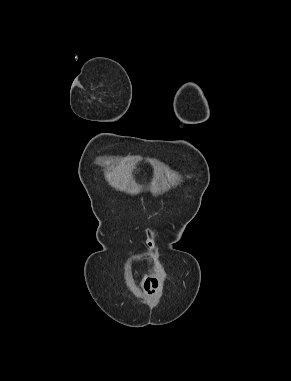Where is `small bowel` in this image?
<instances>
[{"instance_id":"small-bowel-1","label":"small bowel","mask_w":291,"mask_h":381,"mask_svg":"<svg viewBox=\"0 0 291 381\" xmlns=\"http://www.w3.org/2000/svg\"><path fill=\"white\" fill-rule=\"evenodd\" d=\"M141 286L147 296L153 297L155 295L158 287V280L150 268H147Z\"/></svg>"}]
</instances>
